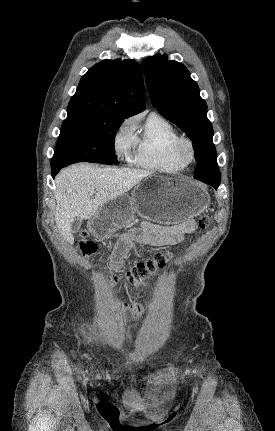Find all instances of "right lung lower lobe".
<instances>
[{
  "instance_id": "1",
  "label": "right lung lower lobe",
  "mask_w": 275,
  "mask_h": 431,
  "mask_svg": "<svg viewBox=\"0 0 275 431\" xmlns=\"http://www.w3.org/2000/svg\"><path fill=\"white\" fill-rule=\"evenodd\" d=\"M61 168H63V167H62V166H55V167H52V172H51V174H52V177H53V178L55 177V175L59 172V170H60Z\"/></svg>"
}]
</instances>
